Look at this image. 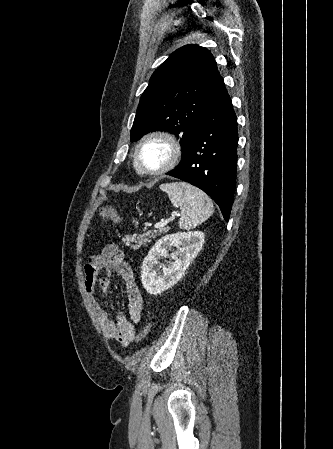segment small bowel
Segmentation results:
<instances>
[{
  "mask_svg": "<svg viewBox=\"0 0 333 449\" xmlns=\"http://www.w3.org/2000/svg\"><path fill=\"white\" fill-rule=\"evenodd\" d=\"M102 270H114L125 285L128 302V317L118 314L111 318L104 305L95 294L96 284L104 293L109 292L111 281L109 277L99 278ZM84 285L88 293L90 306L101 327L102 332L109 339L116 340L122 346L132 343L136 335V325L143 314V299L136 283L131 266L124 260L121 250L114 244L106 245L102 252L89 258L84 267Z\"/></svg>",
  "mask_w": 333,
  "mask_h": 449,
  "instance_id": "c3829d8e",
  "label": "small bowel"
}]
</instances>
